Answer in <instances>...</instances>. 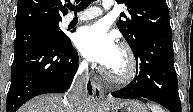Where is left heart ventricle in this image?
Here are the masks:
<instances>
[{"instance_id": "left-heart-ventricle-1", "label": "left heart ventricle", "mask_w": 193, "mask_h": 112, "mask_svg": "<svg viewBox=\"0 0 193 112\" xmlns=\"http://www.w3.org/2000/svg\"><path fill=\"white\" fill-rule=\"evenodd\" d=\"M125 57L122 51L118 48L111 62L106 66L111 72L119 74L125 69Z\"/></svg>"}]
</instances>
